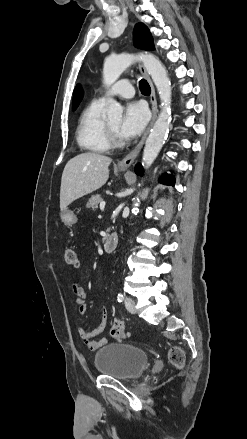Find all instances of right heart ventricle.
I'll return each mask as SVG.
<instances>
[{
  "mask_svg": "<svg viewBox=\"0 0 247 439\" xmlns=\"http://www.w3.org/2000/svg\"><path fill=\"white\" fill-rule=\"evenodd\" d=\"M104 108V102L93 100L82 111L76 130V140L81 149L94 153L111 149L103 117Z\"/></svg>",
  "mask_w": 247,
  "mask_h": 439,
  "instance_id": "right-heart-ventricle-1",
  "label": "right heart ventricle"
}]
</instances>
